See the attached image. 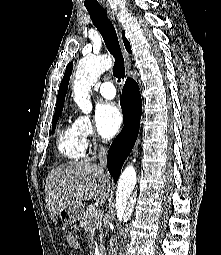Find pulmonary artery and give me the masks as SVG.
Masks as SVG:
<instances>
[{
    "label": "pulmonary artery",
    "mask_w": 221,
    "mask_h": 255,
    "mask_svg": "<svg viewBox=\"0 0 221 255\" xmlns=\"http://www.w3.org/2000/svg\"><path fill=\"white\" fill-rule=\"evenodd\" d=\"M101 95L106 99H113L116 96V90L114 85L109 82H103L99 87Z\"/></svg>",
    "instance_id": "pulmonary-artery-1"
}]
</instances>
